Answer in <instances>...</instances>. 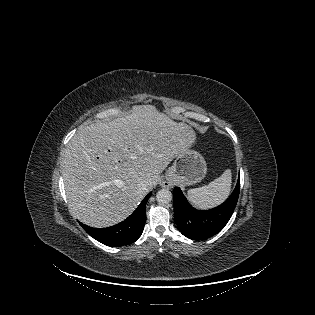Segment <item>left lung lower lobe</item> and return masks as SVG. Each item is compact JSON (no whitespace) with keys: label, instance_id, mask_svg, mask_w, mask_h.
I'll use <instances>...</instances> for the list:
<instances>
[{"label":"left lung lower lobe","instance_id":"0a47b994","mask_svg":"<svg viewBox=\"0 0 315 315\" xmlns=\"http://www.w3.org/2000/svg\"><path fill=\"white\" fill-rule=\"evenodd\" d=\"M240 190V176L230 197L210 210H196L187 201L179 187L173 191L174 218L180 232L192 240H204L220 232L236 207Z\"/></svg>","mask_w":315,"mask_h":315}]
</instances>
